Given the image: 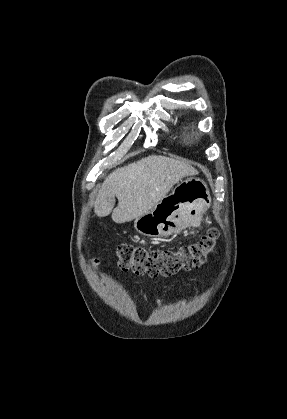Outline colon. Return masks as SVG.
<instances>
[{"label":"colon","mask_w":287,"mask_h":419,"mask_svg":"<svg viewBox=\"0 0 287 419\" xmlns=\"http://www.w3.org/2000/svg\"><path fill=\"white\" fill-rule=\"evenodd\" d=\"M217 238L218 231L212 228L199 241L176 250H149L122 244L117 247L116 253L119 265L125 271L167 277L199 268L207 255L214 251Z\"/></svg>","instance_id":"colon-1"}]
</instances>
